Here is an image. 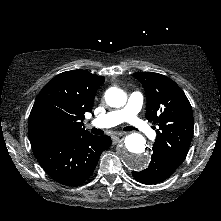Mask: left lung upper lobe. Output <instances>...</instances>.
Segmentation results:
<instances>
[{"label":"left lung upper lobe","instance_id":"left-lung-upper-lobe-1","mask_svg":"<svg viewBox=\"0 0 221 221\" xmlns=\"http://www.w3.org/2000/svg\"><path fill=\"white\" fill-rule=\"evenodd\" d=\"M133 75L145 89L146 118L159 126L152 149L178 168L188 153L193 136L190 102L181 88L167 76L153 72H136Z\"/></svg>","mask_w":221,"mask_h":221}]
</instances>
